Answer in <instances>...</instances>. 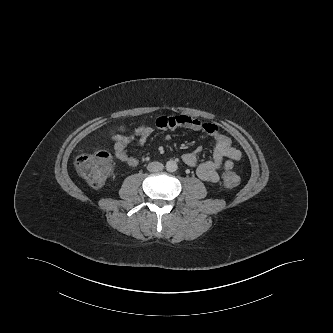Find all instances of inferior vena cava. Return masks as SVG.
Listing matches in <instances>:
<instances>
[{"mask_svg": "<svg viewBox=\"0 0 333 333\" xmlns=\"http://www.w3.org/2000/svg\"><path fill=\"white\" fill-rule=\"evenodd\" d=\"M163 168H164V165L160 162H151L147 166V170L149 172H158V171L163 170Z\"/></svg>", "mask_w": 333, "mask_h": 333, "instance_id": "602c4592", "label": "inferior vena cava"}]
</instances>
